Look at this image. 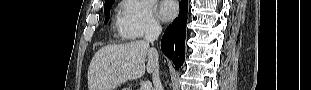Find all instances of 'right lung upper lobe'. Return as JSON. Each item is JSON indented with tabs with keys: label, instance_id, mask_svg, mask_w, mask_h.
<instances>
[{
	"label": "right lung upper lobe",
	"instance_id": "cb5924a9",
	"mask_svg": "<svg viewBox=\"0 0 311 90\" xmlns=\"http://www.w3.org/2000/svg\"><path fill=\"white\" fill-rule=\"evenodd\" d=\"M110 1H112V0H106L105 4H106V3H109Z\"/></svg>",
	"mask_w": 311,
	"mask_h": 90
}]
</instances>
